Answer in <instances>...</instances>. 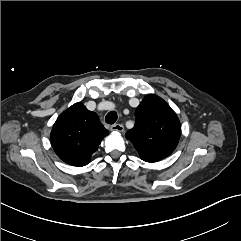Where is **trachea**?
I'll list each match as a JSON object with an SVG mask.
<instances>
[{"instance_id":"1","label":"trachea","mask_w":241,"mask_h":241,"mask_svg":"<svg viewBox=\"0 0 241 241\" xmlns=\"http://www.w3.org/2000/svg\"><path fill=\"white\" fill-rule=\"evenodd\" d=\"M117 113L115 111H111L109 112L106 117H105V121L108 123V124H114L117 120Z\"/></svg>"}]
</instances>
